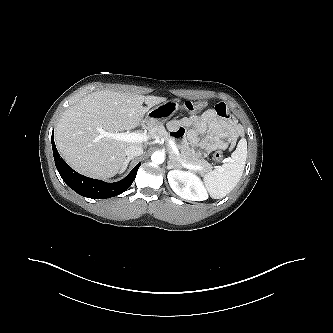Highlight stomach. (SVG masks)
<instances>
[{
    "mask_svg": "<svg viewBox=\"0 0 333 333\" xmlns=\"http://www.w3.org/2000/svg\"><path fill=\"white\" fill-rule=\"evenodd\" d=\"M179 109V104L176 100H164L162 104L151 109L144 120V123L150 127L156 124H162L170 119Z\"/></svg>",
    "mask_w": 333,
    "mask_h": 333,
    "instance_id": "obj_1",
    "label": "stomach"
}]
</instances>
